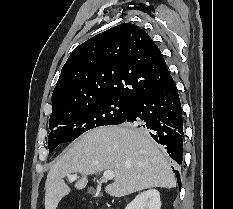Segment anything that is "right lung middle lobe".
I'll return each instance as SVG.
<instances>
[{
    "label": "right lung middle lobe",
    "instance_id": "right-lung-middle-lobe-1",
    "mask_svg": "<svg viewBox=\"0 0 233 209\" xmlns=\"http://www.w3.org/2000/svg\"><path fill=\"white\" fill-rule=\"evenodd\" d=\"M130 104L131 101L125 99L109 98L64 113L51 114L49 153L59 144L71 142L89 129L121 123L128 113Z\"/></svg>",
    "mask_w": 233,
    "mask_h": 209
}]
</instances>
